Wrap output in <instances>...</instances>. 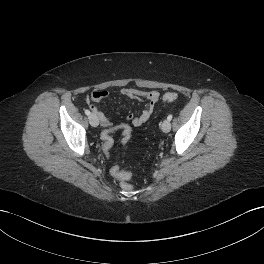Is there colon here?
<instances>
[{
    "label": "colon",
    "instance_id": "5ec220e1",
    "mask_svg": "<svg viewBox=\"0 0 264 264\" xmlns=\"http://www.w3.org/2000/svg\"><path fill=\"white\" fill-rule=\"evenodd\" d=\"M178 99V95L175 92H167L163 95L162 100L164 102H174ZM112 130H104L101 135L103 149L108 152L113 146L114 140L112 137ZM123 134V133H122ZM125 143L130 138V133H125L124 135ZM114 176L121 181V188L125 191L132 190V185L127 182L132 177V173L123 170H117Z\"/></svg>",
    "mask_w": 264,
    "mask_h": 264
}]
</instances>
